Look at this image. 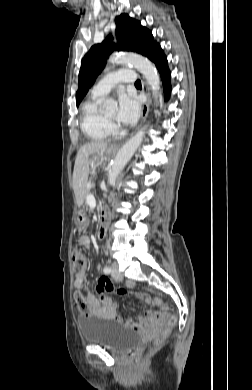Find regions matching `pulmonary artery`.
Wrapping results in <instances>:
<instances>
[{"instance_id": "pulmonary-artery-1", "label": "pulmonary artery", "mask_w": 252, "mask_h": 390, "mask_svg": "<svg viewBox=\"0 0 252 390\" xmlns=\"http://www.w3.org/2000/svg\"><path fill=\"white\" fill-rule=\"evenodd\" d=\"M136 74L133 70L118 69L105 75L98 83L92 88V95L95 97H104L112 88L121 82H134Z\"/></svg>"}]
</instances>
